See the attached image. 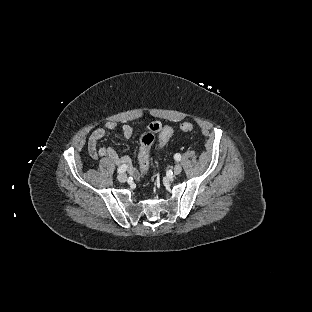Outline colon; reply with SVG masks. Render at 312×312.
<instances>
[{
    "instance_id": "obj_1",
    "label": "colon",
    "mask_w": 312,
    "mask_h": 312,
    "mask_svg": "<svg viewBox=\"0 0 312 312\" xmlns=\"http://www.w3.org/2000/svg\"><path fill=\"white\" fill-rule=\"evenodd\" d=\"M161 125L159 122H152L147 128V132L140 139V152L138 154L139 169L141 172H147L150 165V152L149 146L156 137V133L159 132ZM181 129L183 132L188 133L192 131V124L185 122L182 124ZM173 127L170 124L164 125L161 134L156 140V149L163 151L165 149V142L173 136Z\"/></svg>"
}]
</instances>
